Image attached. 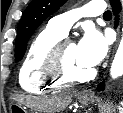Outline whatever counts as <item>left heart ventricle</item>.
<instances>
[{"mask_svg": "<svg viewBox=\"0 0 123 113\" xmlns=\"http://www.w3.org/2000/svg\"><path fill=\"white\" fill-rule=\"evenodd\" d=\"M64 57L66 68L71 75L81 77L90 72L91 68L79 61L77 46L74 43H69L66 46Z\"/></svg>", "mask_w": 123, "mask_h": 113, "instance_id": "left-heart-ventricle-1", "label": "left heart ventricle"}]
</instances>
